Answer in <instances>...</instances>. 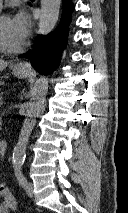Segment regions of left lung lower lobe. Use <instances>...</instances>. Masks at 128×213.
Segmentation results:
<instances>
[{"instance_id":"0a47b994","label":"left lung lower lobe","mask_w":128,"mask_h":213,"mask_svg":"<svg viewBox=\"0 0 128 213\" xmlns=\"http://www.w3.org/2000/svg\"><path fill=\"white\" fill-rule=\"evenodd\" d=\"M74 5L71 0H63V13L58 29L52 35H41L35 40L32 50L19 57L32 61L35 69L42 74H49L60 63V53L66 45L68 25Z\"/></svg>"}]
</instances>
